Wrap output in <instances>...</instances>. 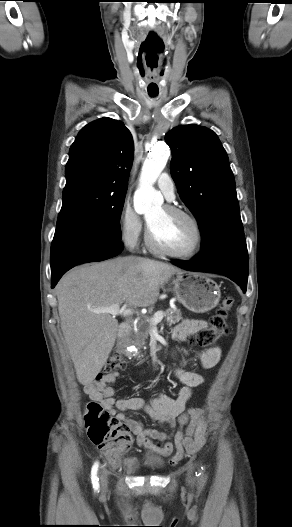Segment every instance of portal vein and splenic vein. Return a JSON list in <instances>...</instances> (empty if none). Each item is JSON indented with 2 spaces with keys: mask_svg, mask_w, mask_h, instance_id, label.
<instances>
[{
  "mask_svg": "<svg viewBox=\"0 0 292 527\" xmlns=\"http://www.w3.org/2000/svg\"><path fill=\"white\" fill-rule=\"evenodd\" d=\"M96 313H108L110 315L116 316V315H122V316H130L134 313L133 309L130 308H121L120 303L113 304L106 308H101L94 310ZM163 312H157L154 317L151 319V325H155L159 323L164 318Z\"/></svg>",
  "mask_w": 292,
  "mask_h": 527,
  "instance_id": "1",
  "label": "portal vein and splenic vein"
}]
</instances>
